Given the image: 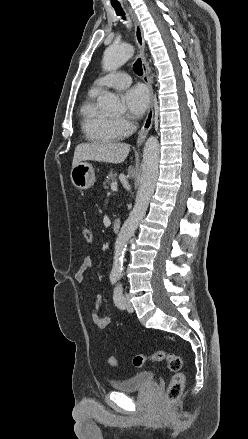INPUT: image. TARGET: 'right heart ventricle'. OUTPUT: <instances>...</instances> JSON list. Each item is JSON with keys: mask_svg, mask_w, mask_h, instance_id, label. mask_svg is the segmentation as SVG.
<instances>
[{"mask_svg": "<svg viewBox=\"0 0 248 439\" xmlns=\"http://www.w3.org/2000/svg\"><path fill=\"white\" fill-rule=\"evenodd\" d=\"M98 92L90 91L80 107L81 127L85 137L93 143H114L122 134L115 120L101 114L97 106Z\"/></svg>", "mask_w": 248, "mask_h": 439, "instance_id": "obj_1", "label": "right heart ventricle"}]
</instances>
